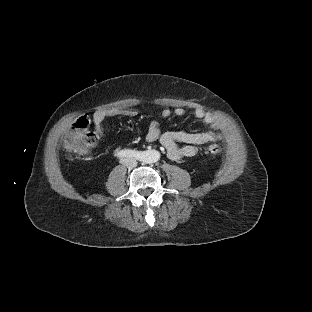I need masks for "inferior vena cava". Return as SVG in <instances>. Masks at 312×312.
<instances>
[{
    "mask_svg": "<svg viewBox=\"0 0 312 312\" xmlns=\"http://www.w3.org/2000/svg\"><path fill=\"white\" fill-rule=\"evenodd\" d=\"M126 166L128 168H133V167L137 166V162H135V163H128Z\"/></svg>",
    "mask_w": 312,
    "mask_h": 312,
    "instance_id": "inferior-vena-cava-1",
    "label": "inferior vena cava"
}]
</instances>
